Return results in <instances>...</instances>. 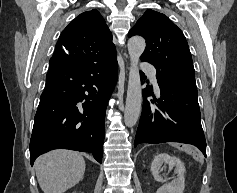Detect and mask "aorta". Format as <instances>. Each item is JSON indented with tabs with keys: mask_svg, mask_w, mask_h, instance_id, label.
<instances>
[{
	"mask_svg": "<svg viewBox=\"0 0 237 193\" xmlns=\"http://www.w3.org/2000/svg\"><path fill=\"white\" fill-rule=\"evenodd\" d=\"M127 46L130 57V68L124 123L128 127H132L137 123L141 111L142 89L138 62L145 50L146 42L141 36H133L129 39Z\"/></svg>",
	"mask_w": 237,
	"mask_h": 193,
	"instance_id": "762f6f07",
	"label": "aorta"
}]
</instances>
